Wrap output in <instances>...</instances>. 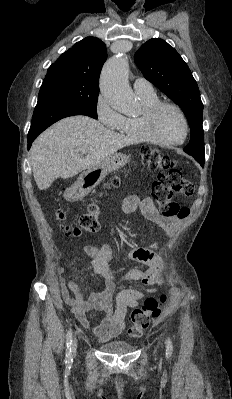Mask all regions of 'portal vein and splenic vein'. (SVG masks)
I'll use <instances>...</instances> for the list:
<instances>
[{
	"mask_svg": "<svg viewBox=\"0 0 232 399\" xmlns=\"http://www.w3.org/2000/svg\"><path fill=\"white\" fill-rule=\"evenodd\" d=\"M87 152H89L88 148H83V150H81V154H87Z\"/></svg>",
	"mask_w": 232,
	"mask_h": 399,
	"instance_id": "1",
	"label": "portal vein and splenic vein"
}]
</instances>
